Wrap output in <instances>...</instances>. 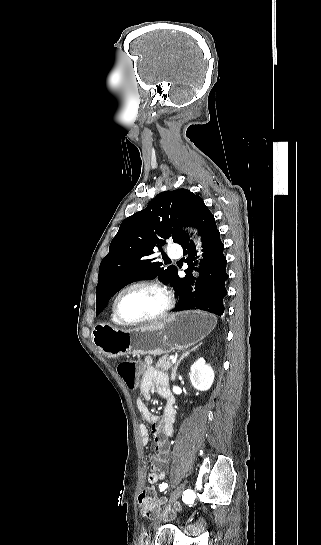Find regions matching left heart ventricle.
Returning a JSON list of instances; mask_svg holds the SVG:
<instances>
[{
    "label": "left heart ventricle",
    "mask_w": 321,
    "mask_h": 545,
    "mask_svg": "<svg viewBox=\"0 0 321 545\" xmlns=\"http://www.w3.org/2000/svg\"><path fill=\"white\" fill-rule=\"evenodd\" d=\"M165 304L161 293L148 288H136L121 297L120 312L127 321L136 322L158 314Z\"/></svg>",
    "instance_id": "obj_1"
}]
</instances>
